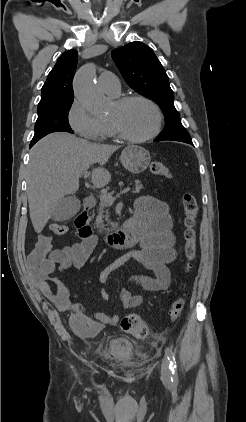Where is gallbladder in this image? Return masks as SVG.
<instances>
[{
  "label": "gallbladder",
  "mask_w": 246,
  "mask_h": 422,
  "mask_svg": "<svg viewBox=\"0 0 246 422\" xmlns=\"http://www.w3.org/2000/svg\"><path fill=\"white\" fill-rule=\"evenodd\" d=\"M80 207V200L75 196L64 197L55 206L51 218L54 221H66L74 217Z\"/></svg>",
  "instance_id": "gallbladder-1"
}]
</instances>
